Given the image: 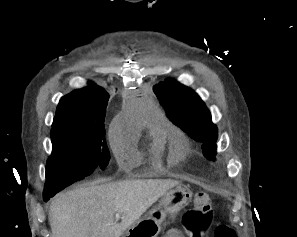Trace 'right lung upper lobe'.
<instances>
[{
	"mask_svg": "<svg viewBox=\"0 0 297 237\" xmlns=\"http://www.w3.org/2000/svg\"><path fill=\"white\" fill-rule=\"evenodd\" d=\"M109 95L94 83L74 90L59 101L52 127L66 124L104 125Z\"/></svg>",
	"mask_w": 297,
	"mask_h": 237,
	"instance_id": "cb5924a9",
	"label": "right lung upper lobe"
}]
</instances>
